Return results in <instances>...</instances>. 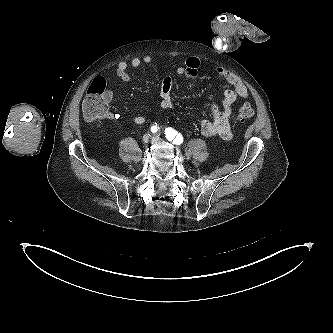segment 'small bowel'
Wrapping results in <instances>:
<instances>
[{
  "label": "small bowel",
  "instance_id": "obj_1",
  "mask_svg": "<svg viewBox=\"0 0 333 333\" xmlns=\"http://www.w3.org/2000/svg\"><path fill=\"white\" fill-rule=\"evenodd\" d=\"M151 62L152 58L150 56H145L143 58L136 57L130 62L121 61L116 67V75L121 81L129 82V67L139 68L140 66L150 64ZM199 68L200 60L196 57H189L183 65L176 69V72L179 75L195 78L199 73ZM216 73L219 77L227 81L230 88L224 91L221 105L217 103H212L210 105L211 119H201L199 125L201 133L204 136L229 140L232 138L230 119L233 104L238 98H246L248 96V89L241 79L234 73L220 67L216 69ZM105 98L107 103H110L114 98L113 92L111 90H106ZM160 98L161 109L168 110L175 107L172 96V80L169 76H166L161 83ZM117 118L118 115L110 111H108L104 116V119L107 120H114ZM145 121L146 118L143 115H137L134 118V122L138 125L143 124Z\"/></svg>",
  "mask_w": 333,
  "mask_h": 333
}]
</instances>
